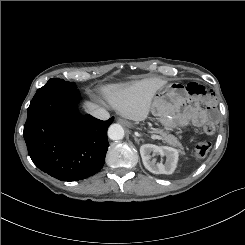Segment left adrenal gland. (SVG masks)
<instances>
[{"label":"left adrenal gland","mask_w":245,"mask_h":245,"mask_svg":"<svg viewBox=\"0 0 245 245\" xmlns=\"http://www.w3.org/2000/svg\"><path fill=\"white\" fill-rule=\"evenodd\" d=\"M134 140H135V142H136V143H138V144L140 143V140H142V141H143V139H138V138H137V137H135V136H134Z\"/></svg>","instance_id":"obj_1"}]
</instances>
